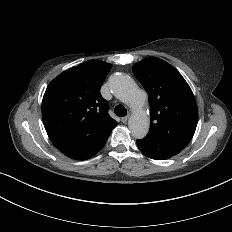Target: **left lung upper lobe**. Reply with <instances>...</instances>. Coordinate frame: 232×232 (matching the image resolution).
<instances>
[{"mask_svg": "<svg viewBox=\"0 0 232 232\" xmlns=\"http://www.w3.org/2000/svg\"><path fill=\"white\" fill-rule=\"evenodd\" d=\"M133 73L149 97L151 123L147 136L184 149L198 121L197 104L185 79L157 57L136 63Z\"/></svg>", "mask_w": 232, "mask_h": 232, "instance_id": "left-lung-upper-lobe-1", "label": "left lung upper lobe"}]
</instances>
